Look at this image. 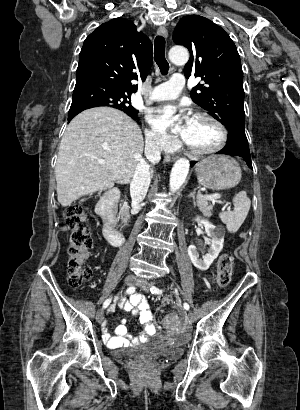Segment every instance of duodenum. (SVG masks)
Returning a JSON list of instances; mask_svg holds the SVG:
<instances>
[{
	"mask_svg": "<svg viewBox=\"0 0 300 410\" xmlns=\"http://www.w3.org/2000/svg\"><path fill=\"white\" fill-rule=\"evenodd\" d=\"M120 198L121 193L118 190H111L98 206V211L104 220L103 235L114 247L121 246L125 240L124 234L116 228V212L111 209V204L117 203Z\"/></svg>",
	"mask_w": 300,
	"mask_h": 410,
	"instance_id": "1",
	"label": "duodenum"
}]
</instances>
